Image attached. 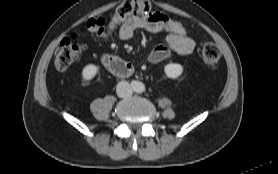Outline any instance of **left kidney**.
I'll use <instances>...</instances> for the list:
<instances>
[{"mask_svg":"<svg viewBox=\"0 0 278 174\" xmlns=\"http://www.w3.org/2000/svg\"><path fill=\"white\" fill-rule=\"evenodd\" d=\"M164 71L167 77L176 79L182 74L183 67L177 63H169L164 67Z\"/></svg>","mask_w":278,"mask_h":174,"instance_id":"5707ae66","label":"left kidney"}]
</instances>
